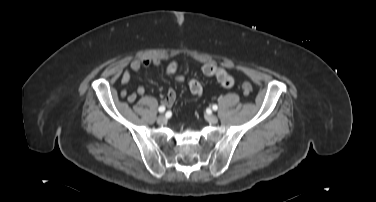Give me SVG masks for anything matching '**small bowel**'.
I'll list each match as a JSON object with an SVG mask.
<instances>
[{
    "label": "small bowel",
    "mask_w": 376,
    "mask_h": 202,
    "mask_svg": "<svg viewBox=\"0 0 376 202\" xmlns=\"http://www.w3.org/2000/svg\"><path fill=\"white\" fill-rule=\"evenodd\" d=\"M160 65L158 59L143 58L134 60L130 64V69L133 72H137L143 68H157ZM192 66L188 63L172 61L168 64L166 71L174 77L177 82H184L186 77L181 73L182 70L189 71ZM203 73L206 76H215L217 81L224 87H231L234 84L233 78L227 73L224 68L218 67L213 63L205 64L202 68ZM131 80L130 70H125L121 75V83L127 85ZM189 89L195 98H200L203 92L202 85L195 79L188 81ZM145 89L142 86L136 88L133 92H129L126 88L120 90V97L126 99L128 102L133 103L138 97L143 96ZM176 100V92L173 88H169L165 93L163 104L166 106H172Z\"/></svg>",
    "instance_id": "1"
}]
</instances>
